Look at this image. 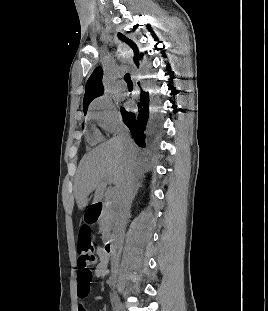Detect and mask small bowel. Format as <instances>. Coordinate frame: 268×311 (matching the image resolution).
I'll use <instances>...</instances> for the list:
<instances>
[{
	"label": "small bowel",
	"instance_id": "small-bowel-1",
	"mask_svg": "<svg viewBox=\"0 0 268 311\" xmlns=\"http://www.w3.org/2000/svg\"><path fill=\"white\" fill-rule=\"evenodd\" d=\"M96 254H97L98 259L94 260V262H96L94 273H95V276L99 278V277L104 276L107 272V264L109 260V255H107L104 248L99 245L96 247ZM77 296L79 298H84L79 295L78 285H77ZM78 311H85V309L83 308L82 305H79Z\"/></svg>",
	"mask_w": 268,
	"mask_h": 311
}]
</instances>
